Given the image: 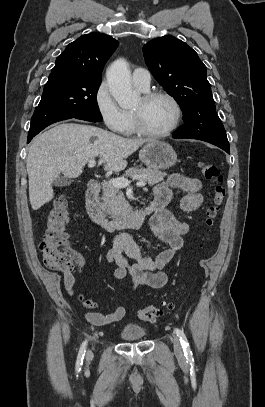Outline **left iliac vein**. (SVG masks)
I'll return each mask as SVG.
<instances>
[{
	"label": "left iliac vein",
	"instance_id": "1",
	"mask_svg": "<svg viewBox=\"0 0 265 407\" xmlns=\"http://www.w3.org/2000/svg\"><path fill=\"white\" fill-rule=\"evenodd\" d=\"M171 341H172V343H173V347H174V351H175L176 355H177L179 358L183 359V358H184V354H183V350H182V346H181L180 339H179L177 336L172 335V336H171Z\"/></svg>",
	"mask_w": 265,
	"mask_h": 407
}]
</instances>
